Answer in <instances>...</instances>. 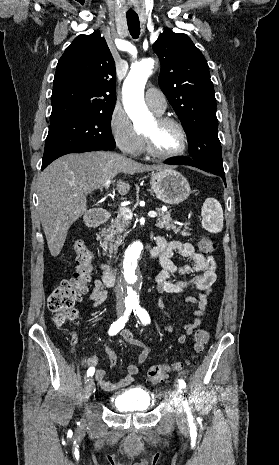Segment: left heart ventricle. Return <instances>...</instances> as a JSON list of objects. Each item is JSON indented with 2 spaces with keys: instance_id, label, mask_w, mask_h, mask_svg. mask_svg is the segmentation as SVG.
I'll return each mask as SVG.
<instances>
[{
  "instance_id": "b2bd125f",
  "label": "left heart ventricle",
  "mask_w": 279,
  "mask_h": 465,
  "mask_svg": "<svg viewBox=\"0 0 279 465\" xmlns=\"http://www.w3.org/2000/svg\"><path fill=\"white\" fill-rule=\"evenodd\" d=\"M144 133L152 137L154 146L159 152L171 153L180 147V133L174 125L160 126L155 120L145 129Z\"/></svg>"
}]
</instances>
